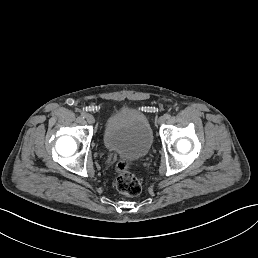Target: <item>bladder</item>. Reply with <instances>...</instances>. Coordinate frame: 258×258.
<instances>
[{
	"label": "bladder",
	"mask_w": 258,
	"mask_h": 258,
	"mask_svg": "<svg viewBox=\"0 0 258 258\" xmlns=\"http://www.w3.org/2000/svg\"><path fill=\"white\" fill-rule=\"evenodd\" d=\"M152 141L150 123L139 110H119L106 120L103 130L104 145L123 161L132 162L145 156Z\"/></svg>",
	"instance_id": "31cf9c89"
}]
</instances>
